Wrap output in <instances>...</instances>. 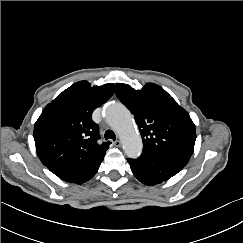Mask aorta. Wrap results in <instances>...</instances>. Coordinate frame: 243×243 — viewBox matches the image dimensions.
Wrapping results in <instances>:
<instances>
[{
  "label": "aorta",
  "instance_id": "1",
  "mask_svg": "<svg viewBox=\"0 0 243 243\" xmlns=\"http://www.w3.org/2000/svg\"><path fill=\"white\" fill-rule=\"evenodd\" d=\"M105 117L109 125L118 132L126 155L138 157L142 151V140L129 110L121 103H111L106 108Z\"/></svg>",
  "mask_w": 243,
  "mask_h": 243
}]
</instances>
